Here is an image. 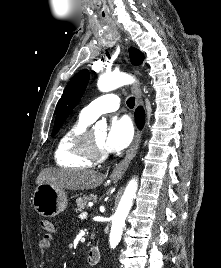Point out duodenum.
Returning <instances> with one entry per match:
<instances>
[{
    "mask_svg": "<svg viewBox=\"0 0 221 268\" xmlns=\"http://www.w3.org/2000/svg\"><path fill=\"white\" fill-rule=\"evenodd\" d=\"M101 259V251L99 247H92L88 251L87 254V261L90 265H95L97 264Z\"/></svg>",
    "mask_w": 221,
    "mask_h": 268,
    "instance_id": "410a0bca",
    "label": "duodenum"
}]
</instances>
